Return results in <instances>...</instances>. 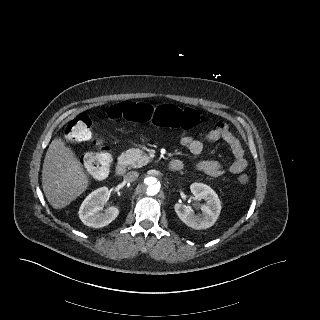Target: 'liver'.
I'll return each instance as SVG.
<instances>
[{
	"label": "liver",
	"instance_id": "1",
	"mask_svg": "<svg viewBox=\"0 0 320 320\" xmlns=\"http://www.w3.org/2000/svg\"><path fill=\"white\" fill-rule=\"evenodd\" d=\"M87 187V176L75 154L61 139L52 140L42 169V188L50 205L62 209Z\"/></svg>",
	"mask_w": 320,
	"mask_h": 320
}]
</instances>
